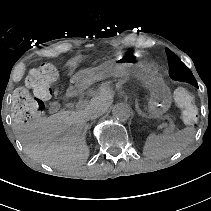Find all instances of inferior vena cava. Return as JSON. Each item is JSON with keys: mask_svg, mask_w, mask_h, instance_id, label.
Wrapping results in <instances>:
<instances>
[{"mask_svg": "<svg viewBox=\"0 0 211 211\" xmlns=\"http://www.w3.org/2000/svg\"><path fill=\"white\" fill-rule=\"evenodd\" d=\"M83 113H84V120L88 121V120L96 119L99 116H101L104 113V109L97 108L94 105L90 104V105H87L83 109Z\"/></svg>", "mask_w": 211, "mask_h": 211, "instance_id": "602c4592", "label": "inferior vena cava"}]
</instances>
